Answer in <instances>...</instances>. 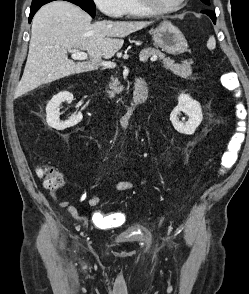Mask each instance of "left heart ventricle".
Returning <instances> with one entry per match:
<instances>
[{"label":"left heart ventricle","mask_w":249,"mask_h":294,"mask_svg":"<svg viewBox=\"0 0 249 294\" xmlns=\"http://www.w3.org/2000/svg\"><path fill=\"white\" fill-rule=\"evenodd\" d=\"M159 9H167L176 6L181 0H152Z\"/></svg>","instance_id":"b2bd125f"}]
</instances>
